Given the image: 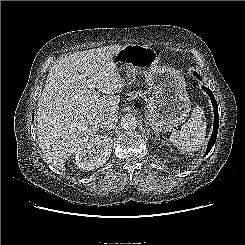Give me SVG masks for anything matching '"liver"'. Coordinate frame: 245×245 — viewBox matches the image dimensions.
<instances>
[{
    "label": "liver",
    "mask_w": 245,
    "mask_h": 245,
    "mask_svg": "<svg viewBox=\"0 0 245 245\" xmlns=\"http://www.w3.org/2000/svg\"><path fill=\"white\" fill-rule=\"evenodd\" d=\"M121 48L115 44L70 54L48 74L36 111L37 136L45 159L62 172L77 148L99 130L102 118L118 112L124 83L113 57ZM81 75L95 87L89 88Z\"/></svg>",
    "instance_id": "obj_1"
}]
</instances>
